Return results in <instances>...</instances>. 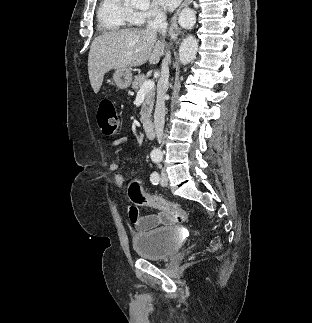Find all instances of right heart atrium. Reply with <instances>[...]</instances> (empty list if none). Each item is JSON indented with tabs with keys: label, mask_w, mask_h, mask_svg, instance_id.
Listing matches in <instances>:
<instances>
[{
	"label": "right heart atrium",
	"mask_w": 312,
	"mask_h": 323,
	"mask_svg": "<svg viewBox=\"0 0 312 323\" xmlns=\"http://www.w3.org/2000/svg\"><path fill=\"white\" fill-rule=\"evenodd\" d=\"M140 20L145 22L147 17H167V10H140Z\"/></svg>",
	"instance_id": "obj_1"
}]
</instances>
